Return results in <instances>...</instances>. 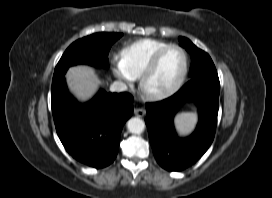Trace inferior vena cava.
Listing matches in <instances>:
<instances>
[{
  "instance_id": "602c4592",
  "label": "inferior vena cava",
  "mask_w": 272,
  "mask_h": 198,
  "mask_svg": "<svg viewBox=\"0 0 272 198\" xmlns=\"http://www.w3.org/2000/svg\"><path fill=\"white\" fill-rule=\"evenodd\" d=\"M112 92H123L127 90V85L122 81H115L110 86Z\"/></svg>"
}]
</instances>
